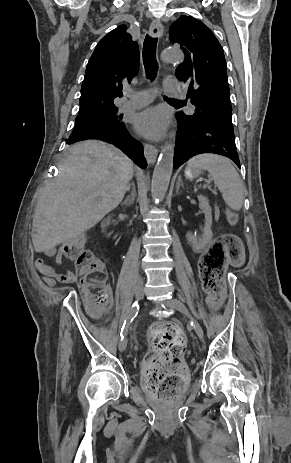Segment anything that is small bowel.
Listing matches in <instances>:
<instances>
[{
	"label": "small bowel",
	"mask_w": 291,
	"mask_h": 463,
	"mask_svg": "<svg viewBox=\"0 0 291 463\" xmlns=\"http://www.w3.org/2000/svg\"><path fill=\"white\" fill-rule=\"evenodd\" d=\"M43 251L47 255L54 256L56 264L58 266H62L64 255L61 248L58 249L57 252H55L52 248H44ZM36 266L43 274L44 282L50 287L55 286L57 282L68 284L75 280V275L71 271L65 270L63 273H59L51 266L46 265L42 259H38L36 261ZM105 288L110 291L108 286H105Z\"/></svg>",
	"instance_id": "obj_1"
}]
</instances>
